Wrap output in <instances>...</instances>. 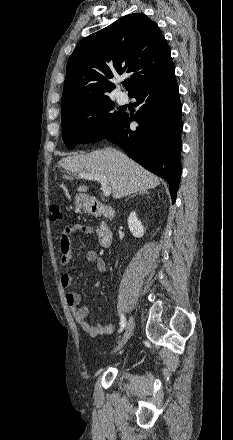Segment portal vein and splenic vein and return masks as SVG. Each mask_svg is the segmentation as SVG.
<instances>
[{
    "instance_id": "1",
    "label": "portal vein and splenic vein",
    "mask_w": 233,
    "mask_h": 440,
    "mask_svg": "<svg viewBox=\"0 0 233 440\" xmlns=\"http://www.w3.org/2000/svg\"><path fill=\"white\" fill-rule=\"evenodd\" d=\"M80 178H85L87 180H95L101 183L103 195L105 197H108L111 194V187L108 185V182L106 179L100 175H93V174H87V173H81L78 174Z\"/></svg>"
}]
</instances>
